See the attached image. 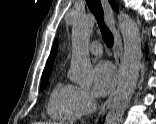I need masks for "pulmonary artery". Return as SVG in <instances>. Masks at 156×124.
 <instances>
[{"instance_id": "1", "label": "pulmonary artery", "mask_w": 156, "mask_h": 124, "mask_svg": "<svg viewBox=\"0 0 156 124\" xmlns=\"http://www.w3.org/2000/svg\"><path fill=\"white\" fill-rule=\"evenodd\" d=\"M88 50L91 54L99 56L103 52V47L100 42L94 41L89 45Z\"/></svg>"}]
</instances>
